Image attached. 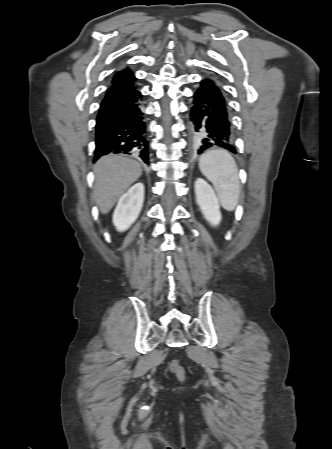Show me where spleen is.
Returning a JSON list of instances; mask_svg holds the SVG:
<instances>
[{"mask_svg": "<svg viewBox=\"0 0 332 449\" xmlns=\"http://www.w3.org/2000/svg\"><path fill=\"white\" fill-rule=\"evenodd\" d=\"M199 169L212 182L221 205L233 211L238 204L240 184L234 158L224 150H211L199 159Z\"/></svg>", "mask_w": 332, "mask_h": 449, "instance_id": "1", "label": "spleen"}]
</instances>
